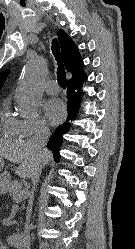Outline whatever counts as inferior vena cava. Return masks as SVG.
Segmentation results:
<instances>
[{
    "instance_id": "inferior-vena-cava-1",
    "label": "inferior vena cava",
    "mask_w": 135,
    "mask_h": 249,
    "mask_svg": "<svg viewBox=\"0 0 135 249\" xmlns=\"http://www.w3.org/2000/svg\"><path fill=\"white\" fill-rule=\"evenodd\" d=\"M50 136V131L47 127L40 126L36 132L33 138L30 140L31 144L35 148L36 152L39 153V155H43L46 151V145L48 142ZM45 165V161H41L40 164H38L33 172L32 175V191L30 194V200H29V206H28V212H27V223L25 225V231L23 234V240H22V249H30V237H29V232H30V215L32 211V204H33V195L36 189L37 182L39 180L42 168Z\"/></svg>"
}]
</instances>
